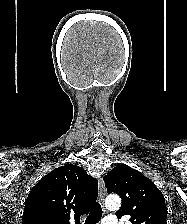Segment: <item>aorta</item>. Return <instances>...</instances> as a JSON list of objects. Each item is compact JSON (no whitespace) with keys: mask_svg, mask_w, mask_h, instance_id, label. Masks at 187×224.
Segmentation results:
<instances>
[{"mask_svg":"<svg viewBox=\"0 0 187 224\" xmlns=\"http://www.w3.org/2000/svg\"><path fill=\"white\" fill-rule=\"evenodd\" d=\"M105 206L111 211H116L121 206V199L118 196H108L105 201Z\"/></svg>","mask_w":187,"mask_h":224,"instance_id":"aorta-1","label":"aorta"}]
</instances>
